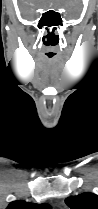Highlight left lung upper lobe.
I'll use <instances>...</instances> for the list:
<instances>
[{
    "label": "left lung upper lobe",
    "instance_id": "obj_1",
    "mask_svg": "<svg viewBox=\"0 0 98 209\" xmlns=\"http://www.w3.org/2000/svg\"><path fill=\"white\" fill-rule=\"evenodd\" d=\"M70 209H98V196L93 193H82L65 199Z\"/></svg>",
    "mask_w": 98,
    "mask_h": 209
}]
</instances>
